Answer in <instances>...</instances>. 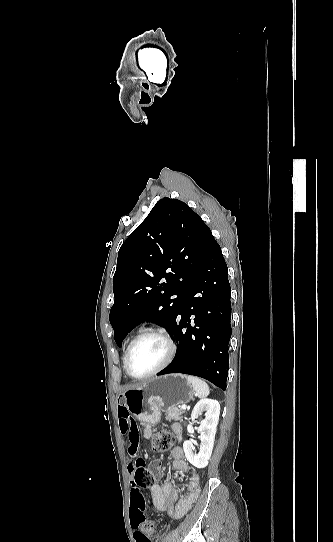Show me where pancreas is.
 <instances>
[{
	"label": "pancreas",
	"instance_id": "cf45deb5",
	"mask_svg": "<svg viewBox=\"0 0 333 542\" xmlns=\"http://www.w3.org/2000/svg\"><path fill=\"white\" fill-rule=\"evenodd\" d=\"M182 414H184L183 410H180V408H171V410H167L166 412V420H181Z\"/></svg>",
	"mask_w": 333,
	"mask_h": 542
}]
</instances>
